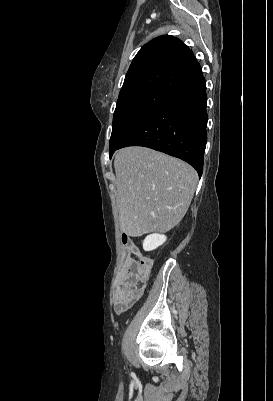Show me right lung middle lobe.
Segmentation results:
<instances>
[{
    "mask_svg": "<svg viewBox=\"0 0 273 401\" xmlns=\"http://www.w3.org/2000/svg\"><path fill=\"white\" fill-rule=\"evenodd\" d=\"M167 95L142 92L118 98L110 138V154L116 151L139 124L151 114Z\"/></svg>",
    "mask_w": 273,
    "mask_h": 401,
    "instance_id": "dd1d6c3e",
    "label": "right lung middle lobe"
}]
</instances>
